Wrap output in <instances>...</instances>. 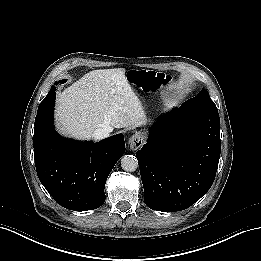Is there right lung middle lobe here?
<instances>
[{
  "label": "right lung middle lobe",
  "instance_id": "right-lung-middle-lobe-1",
  "mask_svg": "<svg viewBox=\"0 0 261 261\" xmlns=\"http://www.w3.org/2000/svg\"><path fill=\"white\" fill-rule=\"evenodd\" d=\"M59 82L63 84V83H65V82H66V80H61V81H59Z\"/></svg>",
  "mask_w": 261,
  "mask_h": 261
}]
</instances>
